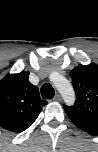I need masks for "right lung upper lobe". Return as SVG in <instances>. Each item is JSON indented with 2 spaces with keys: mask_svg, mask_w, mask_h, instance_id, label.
<instances>
[{
  "mask_svg": "<svg viewBox=\"0 0 98 152\" xmlns=\"http://www.w3.org/2000/svg\"><path fill=\"white\" fill-rule=\"evenodd\" d=\"M29 72L9 74L0 81V126L20 133L37 119L47 101L42 100Z\"/></svg>",
  "mask_w": 98,
  "mask_h": 152,
  "instance_id": "cb5924a9",
  "label": "right lung upper lobe"
}]
</instances>
